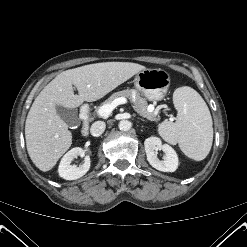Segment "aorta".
Returning a JSON list of instances; mask_svg holds the SVG:
<instances>
[{"label": "aorta", "mask_w": 247, "mask_h": 247, "mask_svg": "<svg viewBox=\"0 0 247 247\" xmlns=\"http://www.w3.org/2000/svg\"><path fill=\"white\" fill-rule=\"evenodd\" d=\"M119 129L122 131H128L131 128V122L128 120H122L119 122Z\"/></svg>", "instance_id": "1"}]
</instances>
